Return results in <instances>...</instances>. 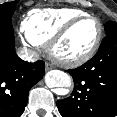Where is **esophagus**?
I'll use <instances>...</instances> for the list:
<instances>
[{"instance_id":"34e87169","label":"esophagus","mask_w":117,"mask_h":117,"mask_svg":"<svg viewBox=\"0 0 117 117\" xmlns=\"http://www.w3.org/2000/svg\"><path fill=\"white\" fill-rule=\"evenodd\" d=\"M52 68H53L52 64H50L49 62H46V64H45V70L48 71V70H50Z\"/></svg>"}]
</instances>
